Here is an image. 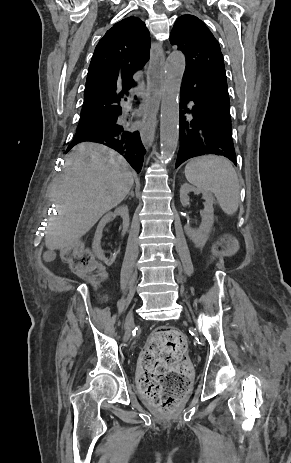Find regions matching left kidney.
<instances>
[{
    "instance_id": "1",
    "label": "left kidney",
    "mask_w": 291,
    "mask_h": 463,
    "mask_svg": "<svg viewBox=\"0 0 291 463\" xmlns=\"http://www.w3.org/2000/svg\"><path fill=\"white\" fill-rule=\"evenodd\" d=\"M190 192L202 193L203 198L205 199V204L204 209L200 211L202 218L200 226L197 229H194L189 224H187L184 230L188 238L192 240L195 246L202 249L209 239V234L214 223V197L209 191L197 189L188 183H185L180 188V201L184 207L189 204L188 194Z\"/></svg>"
}]
</instances>
